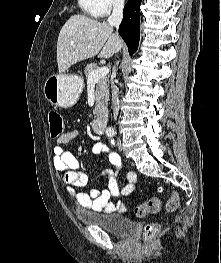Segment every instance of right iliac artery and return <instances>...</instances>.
Here are the masks:
<instances>
[{"label": "right iliac artery", "mask_w": 221, "mask_h": 263, "mask_svg": "<svg viewBox=\"0 0 221 263\" xmlns=\"http://www.w3.org/2000/svg\"><path fill=\"white\" fill-rule=\"evenodd\" d=\"M108 136H110V137L113 136V133L108 134Z\"/></svg>", "instance_id": "82829eb1"}]
</instances>
